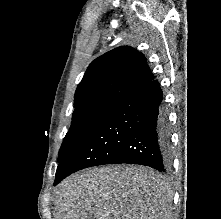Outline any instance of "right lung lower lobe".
<instances>
[{
  "instance_id": "obj_1",
  "label": "right lung lower lobe",
  "mask_w": 221,
  "mask_h": 219,
  "mask_svg": "<svg viewBox=\"0 0 221 219\" xmlns=\"http://www.w3.org/2000/svg\"><path fill=\"white\" fill-rule=\"evenodd\" d=\"M132 163L171 168V140L162 91L152 80L127 95L97 129L59 163L54 185L91 166Z\"/></svg>"
}]
</instances>
